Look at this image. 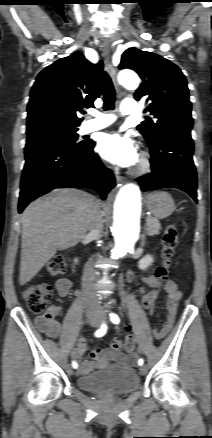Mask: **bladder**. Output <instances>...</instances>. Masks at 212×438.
I'll use <instances>...</instances> for the list:
<instances>
[{
	"label": "bladder",
	"instance_id": "bladder-1",
	"mask_svg": "<svg viewBox=\"0 0 212 438\" xmlns=\"http://www.w3.org/2000/svg\"><path fill=\"white\" fill-rule=\"evenodd\" d=\"M80 388L109 396H122L139 388V378L133 368L108 367L77 379Z\"/></svg>",
	"mask_w": 212,
	"mask_h": 438
}]
</instances>
